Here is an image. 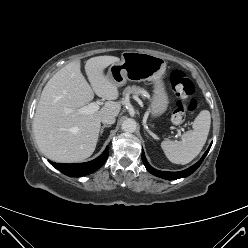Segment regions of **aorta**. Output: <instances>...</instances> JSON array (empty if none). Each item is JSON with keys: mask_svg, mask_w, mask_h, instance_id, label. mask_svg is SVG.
<instances>
[{"mask_svg": "<svg viewBox=\"0 0 248 248\" xmlns=\"http://www.w3.org/2000/svg\"><path fill=\"white\" fill-rule=\"evenodd\" d=\"M137 123L134 119H126L122 122L121 129L124 132L133 133L136 131Z\"/></svg>", "mask_w": 248, "mask_h": 248, "instance_id": "aorta-1", "label": "aorta"}]
</instances>
